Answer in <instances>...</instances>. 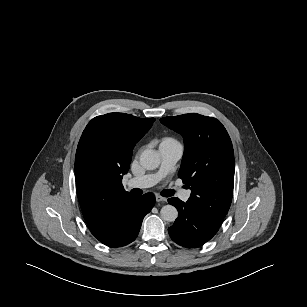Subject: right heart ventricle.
<instances>
[{"label": "right heart ventricle", "mask_w": 307, "mask_h": 307, "mask_svg": "<svg viewBox=\"0 0 307 307\" xmlns=\"http://www.w3.org/2000/svg\"><path fill=\"white\" fill-rule=\"evenodd\" d=\"M163 141H174L173 139H170V138H167V139H165V140H163Z\"/></svg>", "instance_id": "e07e8e85"}]
</instances>
